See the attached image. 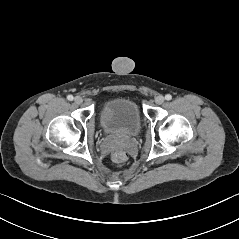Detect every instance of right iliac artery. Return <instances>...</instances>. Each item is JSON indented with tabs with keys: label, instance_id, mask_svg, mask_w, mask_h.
Listing matches in <instances>:
<instances>
[{
	"label": "right iliac artery",
	"instance_id": "right-iliac-artery-1",
	"mask_svg": "<svg viewBox=\"0 0 239 239\" xmlns=\"http://www.w3.org/2000/svg\"><path fill=\"white\" fill-rule=\"evenodd\" d=\"M67 99H68L69 101H72V100H73V96H72V95H68V96H67Z\"/></svg>",
	"mask_w": 239,
	"mask_h": 239
}]
</instances>
